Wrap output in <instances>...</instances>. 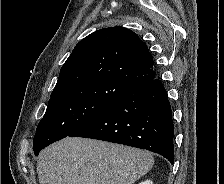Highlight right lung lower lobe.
<instances>
[{
  "mask_svg": "<svg viewBox=\"0 0 224 184\" xmlns=\"http://www.w3.org/2000/svg\"><path fill=\"white\" fill-rule=\"evenodd\" d=\"M68 136L146 149L174 163L172 110L158 79L130 87L103 113Z\"/></svg>",
  "mask_w": 224,
  "mask_h": 184,
  "instance_id": "right-lung-lower-lobe-1",
  "label": "right lung lower lobe"
}]
</instances>
